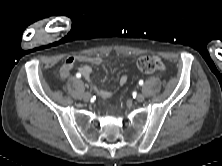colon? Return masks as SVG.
Instances as JSON below:
<instances>
[{
    "instance_id": "colon-1",
    "label": "colon",
    "mask_w": 222,
    "mask_h": 166,
    "mask_svg": "<svg viewBox=\"0 0 222 166\" xmlns=\"http://www.w3.org/2000/svg\"><path fill=\"white\" fill-rule=\"evenodd\" d=\"M140 71L146 74L162 72L165 69L162 60L155 56H143L137 61Z\"/></svg>"
}]
</instances>
